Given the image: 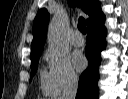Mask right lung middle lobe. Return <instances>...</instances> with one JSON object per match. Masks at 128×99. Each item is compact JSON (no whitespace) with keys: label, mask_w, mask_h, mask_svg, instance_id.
<instances>
[{"label":"right lung middle lobe","mask_w":128,"mask_h":99,"mask_svg":"<svg viewBox=\"0 0 128 99\" xmlns=\"http://www.w3.org/2000/svg\"><path fill=\"white\" fill-rule=\"evenodd\" d=\"M39 56L40 55L31 58V76H34L37 71Z\"/></svg>","instance_id":"dd1d6c3e"}]
</instances>
